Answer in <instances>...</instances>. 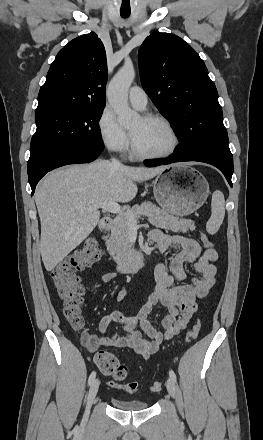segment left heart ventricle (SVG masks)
Here are the masks:
<instances>
[{"mask_svg":"<svg viewBox=\"0 0 263 440\" xmlns=\"http://www.w3.org/2000/svg\"><path fill=\"white\" fill-rule=\"evenodd\" d=\"M137 147L146 153H160L167 151L172 144L169 130L160 122L144 121L141 117L129 126Z\"/></svg>","mask_w":263,"mask_h":440,"instance_id":"left-heart-ventricle-1","label":"left heart ventricle"}]
</instances>
